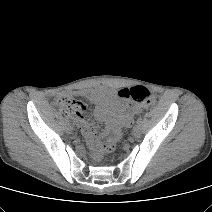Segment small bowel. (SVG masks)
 Wrapping results in <instances>:
<instances>
[{"instance_id":"obj_1","label":"small bowel","mask_w":212,"mask_h":212,"mask_svg":"<svg viewBox=\"0 0 212 212\" xmlns=\"http://www.w3.org/2000/svg\"><path fill=\"white\" fill-rule=\"evenodd\" d=\"M81 95L94 104V116L99 121L106 123L104 134L112 133L120 127H129L135 115L141 111V107L132 103H124L116 93L106 87H97L81 92ZM81 133L89 145L98 154L99 141L96 128L87 123L83 116L76 119Z\"/></svg>"}]
</instances>
